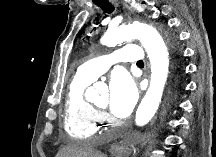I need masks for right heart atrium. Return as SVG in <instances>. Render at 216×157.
Here are the masks:
<instances>
[{
	"label": "right heart atrium",
	"instance_id": "obj_1",
	"mask_svg": "<svg viewBox=\"0 0 216 157\" xmlns=\"http://www.w3.org/2000/svg\"><path fill=\"white\" fill-rule=\"evenodd\" d=\"M100 122H104L106 120V115L104 113H99Z\"/></svg>",
	"mask_w": 216,
	"mask_h": 157
}]
</instances>
